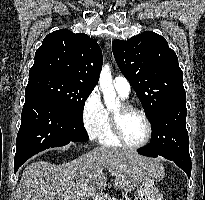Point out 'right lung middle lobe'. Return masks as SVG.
Returning <instances> with one entry per match:
<instances>
[{"label": "right lung middle lobe", "instance_id": "dd1d6c3e", "mask_svg": "<svg viewBox=\"0 0 205 200\" xmlns=\"http://www.w3.org/2000/svg\"><path fill=\"white\" fill-rule=\"evenodd\" d=\"M93 89L94 87L57 75H43L29 79L25 95L44 96L78 121L83 122L85 101Z\"/></svg>", "mask_w": 205, "mask_h": 200}]
</instances>
